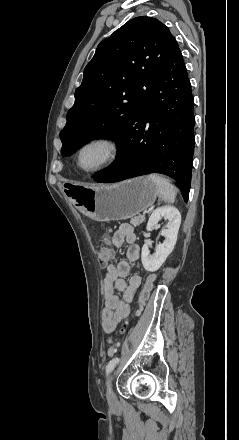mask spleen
Masks as SVG:
<instances>
[{
  "mask_svg": "<svg viewBox=\"0 0 239 440\" xmlns=\"http://www.w3.org/2000/svg\"><path fill=\"white\" fill-rule=\"evenodd\" d=\"M149 178L152 180V182H154V184H156L160 194L159 198H162V200L167 202V204H173L178 192L177 188L172 186L169 180L162 178L160 174H150Z\"/></svg>",
  "mask_w": 239,
  "mask_h": 440,
  "instance_id": "3e777b00",
  "label": "spleen"
}]
</instances>
